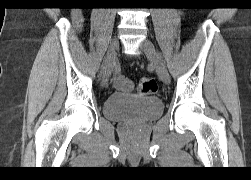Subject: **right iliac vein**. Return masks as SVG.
Returning a JSON list of instances; mask_svg holds the SVG:
<instances>
[{
    "label": "right iliac vein",
    "mask_w": 251,
    "mask_h": 180,
    "mask_svg": "<svg viewBox=\"0 0 251 180\" xmlns=\"http://www.w3.org/2000/svg\"><path fill=\"white\" fill-rule=\"evenodd\" d=\"M119 46V42L117 38H114L111 41V44L109 46V50L107 52V57H106V63L103 69V74H102V85H105L111 75V72L113 70V67L115 65L116 61V56H117V49Z\"/></svg>",
    "instance_id": "right-iliac-vein-1"
}]
</instances>
